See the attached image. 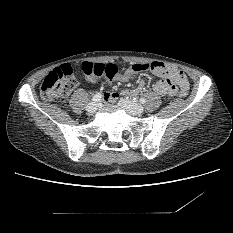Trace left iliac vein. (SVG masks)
<instances>
[{"mask_svg": "<svg viewBox=\"0 0 233 233\" xmlns=\"http://www.w3.org/2000/svg\"><path fill=\"white\" fill-rule=\"evenodd\" d=\"M119 104L128 112L130 115H140L143 113L144 108L142 105L134 103L130 100L121 98Z\"/></svg>", "mask_w": 233, "mask_h": 233, "instance_id": "4c4485c4", "label": "left iliac vein"}]
</instances>
